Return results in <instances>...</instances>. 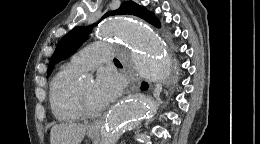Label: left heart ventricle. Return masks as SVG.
I'll list each match as a JSON object with an SVG mask.
<instances>
[{
    "label": "left heart ventricle",
    "instance_id": "left-heart-ventricle-1",
    "mask_svg": "<svg viewBox=\"0 0 260 144\" xmlns=\"http://www.w3.org/2000/svg\"><path fill=\"white\" fill-rule=\"evenodd\" d=\"M94 87L95 84L92 81L82 82L83 94L88 105L93 109H101L100 105L98 104V102L94 97Z\"/></svg>",
    "mask_w": 260,
    "mask_h": 144
}]
</instances>
